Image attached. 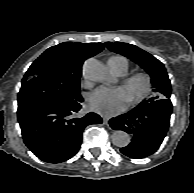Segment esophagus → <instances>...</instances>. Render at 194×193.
Segmentation results:
<instances>
[{
  "instance_id": "34e87169",
  "label": "esophagus",
  "mask_w": 194,
  "mask_h": 193,
  "mask_svg": "<svg viewBox=\"0 0 194 193\" xmlns=\"http://www.w3.org/2000/svg\"><path fill=\"white\" fill-rule=\"evenodd\" d=\"M108 122H109V117L104 116L103 117V123L106 124V125H108Z\"/></svg>"
}]
</instances>
